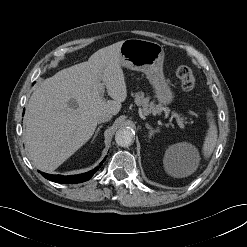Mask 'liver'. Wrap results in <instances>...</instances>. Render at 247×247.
Here are the masks:
<instances>
[{"label":"liver","mask_w":247,"mask_h":247,"mask_svg":"<svg viewBox=\"0 0 247 247\" xmlns=\"http://www.w3.org/2000/svg\"><path fill=\"white\" fill-rule=\"evenodd\" d=\"M122 43L99 49L88 61L57 72L35 88L27 104L24 139L38 169H57L92 137L99 115L119 113L127 97ZM101 86L113 100H104Z\"/></svg>","instance_id":"6515ba94"}]
</instances>
